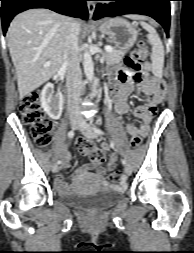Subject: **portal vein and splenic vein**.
I'll return each mask as SVG.
<instances>
[{
    "label": "portal vein and splenic vein",
    "mask_w": 194,
    "mask_h": 253,
    "mask_svg": "<svg viewBox=\"0 0 194 253\" xmlns=\"http://www.w3.org/2000/svg\"><path fill=\"white\" fill-rule=\"evenodd\" d=\"M112 50H113L112 47H110V46H105V51H106V52H112ZM49 64H50V61L46 63V65H49Z\"/></svg>",
    "instance_id": "obj_1"
}]
</instances>
